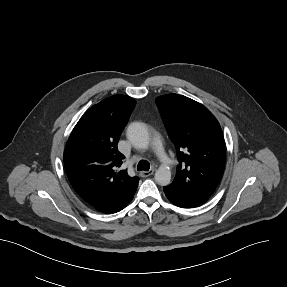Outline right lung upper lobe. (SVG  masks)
<instances>
[{"label": "right lung upper lobe", "mask_w": 287, "mask_h": 287, "mask_svg": "<svg viewBox=\"0 0 287 287\" xmlns=\"http://www.w3.org/2000/svg\"><path fill=\"white\" fill-rule=\"evenodd\" d=\"M135 103L126 95L102 100L80 118L67 141L66 173L74 190L88 204L138 186L137 177L117 172L125 158L117 149L119 136Z\"/></svg>", "instance_id": "obj_1"}]
</instances>
